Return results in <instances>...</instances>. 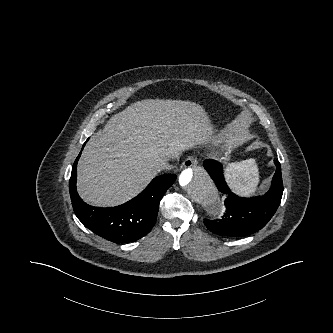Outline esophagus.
Wrapping results in <instances>:
<instances>
[{
	"label": "esophagus",
	"mask_w": 333,
	"mask_h": 333,
	"mask_svg": "<svg viewBox=\"0 0 333 333\" xmlns=\"http://www.w3.org/2000/svg\"><path fill=\"white\" fill-rule=\"evenodd\" d=\"M197 158L195 157H188L187 159L184 160V162L182 163V168H189V167H193L197 164Z\"/></svg>",
	"instance_id": "34e87169"
}]
</instances>
